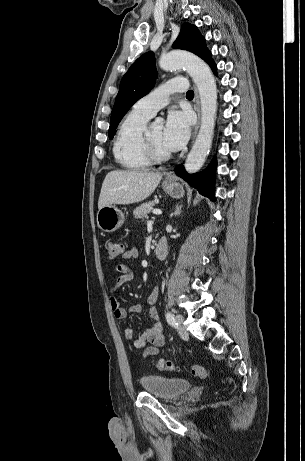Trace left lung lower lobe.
Masks as SVG:
<instances>
[{
  "mask_svg": "<svg viewBox=\"0 0 305 461\" xmlns=\"http://www.w3.org/2000/svg\"><path fill=\"white\" fill-rule=\"evenodd\" d=\"M209 66L216 74V64L213 60L208 62ZM215 168H216V159L214 158L208 168L202 173L196 174H187L184 167L182 165L178 166L175 169L176 175L183 178L187 181L191 186L198 189V191L204 195L209 197L212 201L215 200L214 196V178H215Z\"/></svg>",
  "mask_w": 305,
  "mask_h": 461,
  "instance_id": "left-lung-lower-lobe-1",
  "label": "left lung lower lobe"
}]
</instances>
